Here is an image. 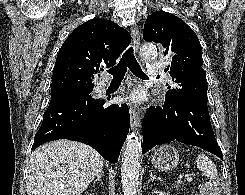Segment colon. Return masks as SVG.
Masks as SVG:
<instances>
[{"label":"colon","mask_w":245,"mask_h":195,"mask_svg":"<svg viewBox=\"0 0 245 195\" xmlns=\"http://www.w3.org/2000/svg\"><path fill=\"white\" fill-rule=\"evenodd\" d=\"M202 195H217L218 181L216 179H209L204 182L201 189Z\"/></svg>","instance_id":"5ec220e1"}]
</instances>
